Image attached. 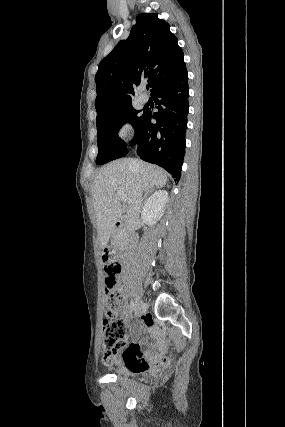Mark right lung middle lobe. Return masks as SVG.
I'll return each mask as SVG.
<instances>
[{"mask_svg":"<svg viewBox=\"0 0 285 427\" xmlns=\"http://www.w3.org/2000/svg\"><path fill=\"white\" fill-rule=\"evenodd\" d=\"M140 110L133 106H128L102 122L96 124L98 131V156L96 164H105L128 153V145L118 136V131L122 125L129 122L135 129L134 139L130 142L135 145L141 130L145 114L139 115Z\"/></svg>","mask_w":285,"mask_h":427,"instance_id":"obj_1","label":"right lung middle lobe"}]
</instances>
